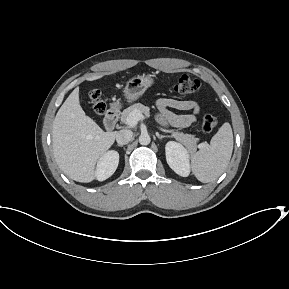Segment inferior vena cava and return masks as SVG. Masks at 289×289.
Returning <instances> with one entry per match:
<instances>
[{
  "mask_svg": "<svg viewBox=\"0 0 289 289\" xmlns=\"http://www.w3.org/2000/svg\"><path fill=\"white\" fill-rule=\"evenodd\" d=\"M133 133L130 130H120L116 134V141L119 145H126L132 140Z\"/></svg>",
  "mask_w": 289,
  "mask_h": 289,
  "instance_id": "inferior-vena-cava-1",
  "label": "inferior vena cava"
}]
</instances>
